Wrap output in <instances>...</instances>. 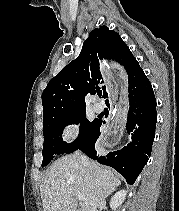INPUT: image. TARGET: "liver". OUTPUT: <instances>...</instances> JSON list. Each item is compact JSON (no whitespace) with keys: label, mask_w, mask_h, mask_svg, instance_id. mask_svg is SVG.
I'll return each instance as SVG.
<instances>
[{"label":"liver","mask_w":179,"mask_h":211,"mask_svg":"<svg viewBox=\"0 0 179 211\" xmlns=\"http://www.w3.org/2000/svg\"><path fill=\"white\" fill-rule=\"evenodd\" d=\"M121 184L120 178L96 162H81L78 153L63 156L49 168L40 185L44 211H77V194L85 196L80 211L98 206Z\"/></svg>","instance_id":"1"}]
</instances>
